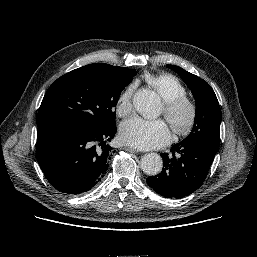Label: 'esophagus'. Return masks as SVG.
<instances>
[{
	"mask_svg": "<svg viewBox=\"0 0 257 257\" xmlns=\"http://www.w3.org/2000/svg\"><path fill=\"white\" fill-rule=\"evenodd\" d=\"M124 149H125L126 151H129V152H132V153H137V152H138L136 149H134V148H132V147H124Z\"/></svg>",
	"mask_w": 257,
	"mask_h": 257,
	"instance_id": "34e87169",
	"label": "esophagus"
}]
</instances>
